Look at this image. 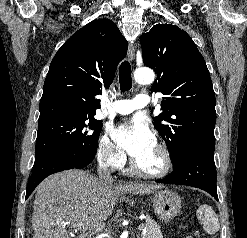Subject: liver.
<instances>
[{
  "instance_id": "obj_1",
  "label": "liver",
  "mask_w": 247,
  "mask_h": 238,
  "mask_svg": "<svg viewBox=\"0 0 247 238\" xmlns=\"http://www.w3.org/2000/svg\"><path fill=\"white\" fill-rule=\"evenodd\" d=\"M161 188L144 183L114 185L78 169L53 174L37 187L33 238H71L67 228L77 223L86 225L78 238L91 237L105 228L120 194L144 195Z\"/></svg>"
}]
</instances>
